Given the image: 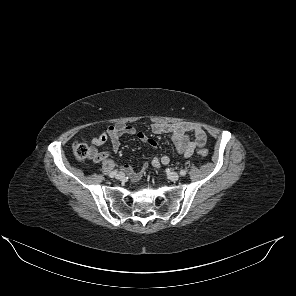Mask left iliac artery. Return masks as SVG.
Wrapping results in <instances>:
<instances>
[{"label": "left iliac artery", "instance_id": "1", "mask_svg": "<svg viewBox=\"0 0 296 296\" xmlns=\"http://www.w3.org/2000/svg\"><path fill=\"white\" fill-rule=\"evenodd\" d=\"M186 173H187L186 170H181V171H180V175H181V176H185Z\"/></svg>", "mask_w": 296, "mask_h": 296}]
</instances>
